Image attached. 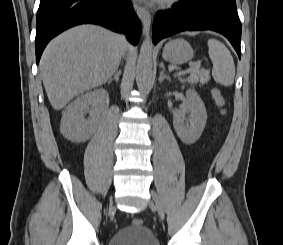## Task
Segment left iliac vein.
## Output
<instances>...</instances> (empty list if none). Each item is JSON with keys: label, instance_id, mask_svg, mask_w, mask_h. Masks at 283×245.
I'll list each match as a JSON object with an SVG mask.
<instances>
[{"label": "left iliac vein", "instance_id": "1", "mask_svg": "<svg viewBox=\"0 0 283 245\" xmlns=\"http://www.w3.org/2000/svg\"><path fill=\"white\" fill-rule=\"evenodd\" d=\"M151 196H152V202H153L154 207L156 208L159 216L163 219L165 214H164L163 205L161 203L159 196L157 195L155 191H151Z\"/></svg>", "mask_w": 283, "mask_h": 245}]
</instances>
